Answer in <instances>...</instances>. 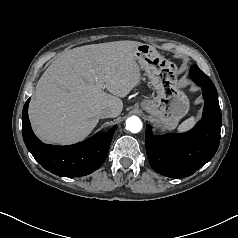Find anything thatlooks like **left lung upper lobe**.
Returning <instances> with one entry per match:
<instances>
[{"instance_id":"obj_1","label":"left lung upper lobe","mask_w":238,"mask_h":238,"mask_svg":"<svg viewBox=\"0 0 238 238\" xmlns=\"http://www.w3.org/2000/svg\"><path fill=\"white\" fill-rule=\"evenodd\" d=\"M191 70H192V71H199V72H201V70L199 69V67H198L197 65L192 66V67H191ZM208 79H209V77H208ZM208 81H209L211 87L215 89V86H214V84L212 83V81H211L210 79H209Z\"/></svg>"}]
</instances>
